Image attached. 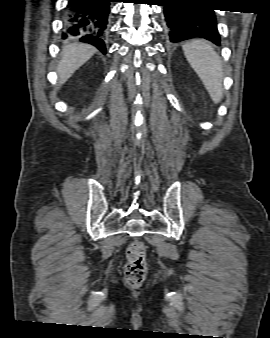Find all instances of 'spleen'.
Masks as SVG:
<instances>
[{
    "mask_svg": "<svg viewBox=\"0 0 270 338\" xmlns=\"http://www.w3.org/2000/svg\"><path fill=\"white\" fill-rule=\"evenodd\" d=\"M183 51L212 101L218 104L223 98V67L220 56L205 40L187 42L183 45Z\"/></svg>",
    "mask_w": 270,
    "mask_h": 338,
    "instance_id": "3e777b00",
    "label": "spleen"
}]
</instances>
